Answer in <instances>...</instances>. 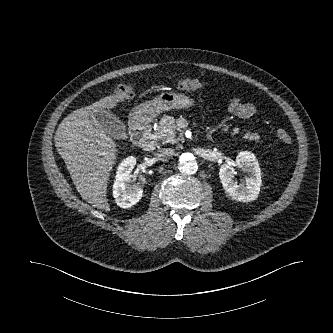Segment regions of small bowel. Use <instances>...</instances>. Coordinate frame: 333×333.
<instances>
[{"label": "small bowel", "mask_w": 333, "mask_h": 333, "mask_svg": "<svg viewBox=\"0 0 333 333\" xmlns=\"http://www.w3.org/2000/svg\"><path fill=\"white\" fill-rule=\"evenodd\" d=\"M229 110L237 117L243 119L252 118L253 115L255 114V107L252 104L243 103L237 99L231 100L229 104Z\"/></svg>", "instance_id": "1"}]
</instances>
